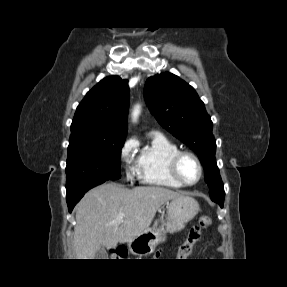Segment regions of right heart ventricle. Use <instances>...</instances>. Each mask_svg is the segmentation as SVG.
<instances>
[{
    "instance_id": "1",
    "label": "right heart ventricle",
    "mask_w": 287,
    "mask_h": 287,
    "mask_svg": "<svg viewBox=\"0 0 287 287\" xmlns=\"http://www.w3.org/2000/svg\"><path fill=\"white\" fill-rule=\"evenodd\" d=\"M180 151L179 146L160 133H152L150 141L139 152L135 168L144 184L179 188L181 185L170 173V160Z\"/></svg>"
}]
</instances>
